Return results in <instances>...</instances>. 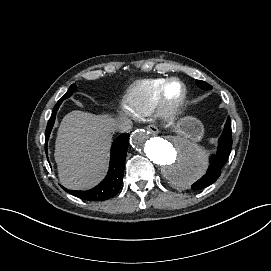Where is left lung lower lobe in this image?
<instances>
[{
    "label": "left lung lower lobe",
    "mask_w": 271,
    "mask_h": 271,
    "mask_svg": "<svg viewBox=\"0 0 271 271\" xmlns=\"http://www.w3.org/2000/svg\"><path fill=\"white\" fill-rule=\"evenodd\" d=\"M232 148V131L231 120L228 117L224 127V131L219 138V146L216 155L212 156L211 165L206 174L195 182L191 188L193 190H200L213 184L221 175V169L227 162Z\"/></svg>",
    "instance_id": "obj_1"
}]
</instances>
